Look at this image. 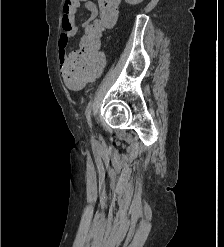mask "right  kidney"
Wrapping results in <instances>:
<instances>
[{
	"instance_id": "ca27d5eb",
	"label": "right kidney",
	"mask_w": 224,
	"mask_h": 247,
	"mask_svg": "<svg viewBox=\"0 0 224 247\" xmlns=\"http://www.w3.org/2000/svg\"><path fill=\"white\" fill-rule=\"evenodd\" d=\"M125 2H127V4H131V6H136V4H141L143 0H125Z\"/></svg>"
}]
</instances>
